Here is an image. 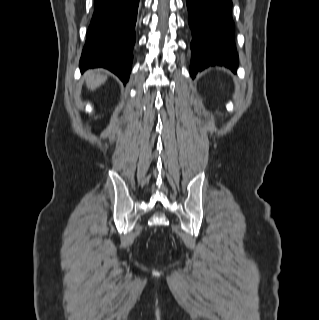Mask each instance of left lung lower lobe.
Returning <instances> with one entry per match:
<instances>
[{
  "instance_id": "obj_1",
  "label": "left lung lower lobe",
  "mask_w": 319,
  "mask_h": 320,
  "mask_svg": "<svg viewBox=\"0 0 319 320\" xmlns=\"http://www.w3.org/2000/svg\"><path fill=\"white\" fill-rule=\"evenodd\" d=\"M192 31L190 74L220 65L235 71L238 53L234 44L231 0H186Z\"/></svg>"
}]
</instances>
